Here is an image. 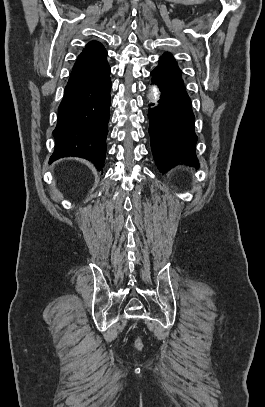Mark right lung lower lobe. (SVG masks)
I'll return each instance as SVG.
<instances>
[{
	"instance_id": "98d812e1",
	"label": "right lung lower lobe",
	"mask_w": 265,
	"mask_h": 407,
	"mask_svg": "<svg viewBox=\"0 0 265 407\" xmlns=\"http://www.w3.org/2000/svg\"><path fill=\"white\" fill-rule=\"evenodd\" d=\"M107 52L76 61L58 108L50 162L73 156L91 161L100 171L106 153L110 118V66Z\"/></svg>"
}]
</instances>
